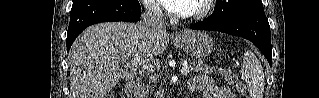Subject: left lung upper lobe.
Returning <instances> with one entry per match:
<instances>
[{
  "label": "left lung upper lobe",
  "mask_w": 319,
  "mask_h": 98,
  "mask_svg": "<svg viewBox=\"0 0 319 98\" xmlns=\"http://www.w3.org/2000/svg\"><path fill=\"white\" fill-rule=\"evenodd\" d=\"M254 6H263L261 0H216L214 12L205 22H220Z\"/></svg>",
  "instance_id": "left-lung-upper-lobe-1"
}]
</instances>
